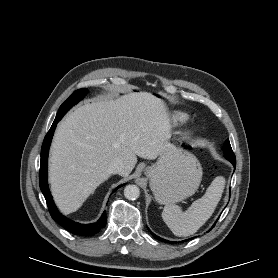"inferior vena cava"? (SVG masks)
<instances>
[{
    "label": "inferior vena cava",
    "mask_w": 278,
    "mask_h": 278,
    "mask_svg": "<svg viewBox=\"0 0 278 278\" xmlns=\"http://www.w3.org/2000/svg\"><path fill=\"white\" fill-rule=\"evenodd\" d=\"M124 168L122 160L116 159L112 161L108 166V172L110 174H119Z\"/></svg>",
    "instance_id": "602c4592"
}]
</instances>
